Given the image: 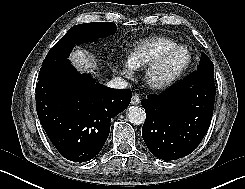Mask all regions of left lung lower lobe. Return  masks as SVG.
Segmentation results:
<instances>
[{
    "label": "left lung lower lobe",
    "instance_id": "0a47b994",
    "mask_svg": "<svg viewBox=\"0 0 245 189\" xmlns=\"http://www.w3.org/2000/svg\"><path fill=\"white\" fill-rule=\"evenodd\" d=\"M215 92L214 76L196 70L163 93L142 100V137L150 152L162 160H176L194 151L210 126Z\"/></svg>",
    "mask_w": 245,
    "mask_h": 189
}]
</instances>
